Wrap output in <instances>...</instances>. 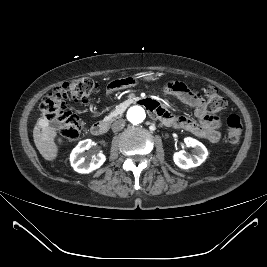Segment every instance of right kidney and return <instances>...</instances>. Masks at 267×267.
I'll list each match as a JSON object with an SVG mask.
<instances>
[{
    "label": "right kidney",
    "instance_id": "right-kidney-1",
    "mask_svg": "<svg viewBox=\"0 0 267 267\" xmlns=\"http://www.w3.org/2000/svg\"><path fill=\"white\" fill-rule=\"evenodd\" d=\"M92 146V140L86 139L80 141L78 145L72 150L70 154L71 166L78 173H90L98 169L106 160V157L102 153H98L92 157L90 161H85L83 152L90 149Z\"/></svg>",
    "mask_w": 267,
    "mask_h": 267
}]
</instances>
